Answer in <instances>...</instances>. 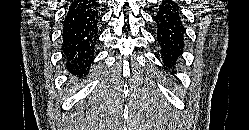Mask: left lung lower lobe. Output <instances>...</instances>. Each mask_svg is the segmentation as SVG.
I'll return each instance as SVG.
<instances>
[{
    "label": "left lung lower lobe",
    "instance_id": "1",
    "mask_svg": "<svg viewBox=\"0 0 249 130\" xmlns=\"http://www.w3.org/2000/svg\"><path fill=\"white\" fill-rule=\"evenodd\" d=\"M157 25V40L161 47L164 65L173 68L184 48L185 28L179 6L173 1H163L154 16Z\"/></svg>",
    "mask_w": 249,
    "mask_h": 130
}]
</instances>
